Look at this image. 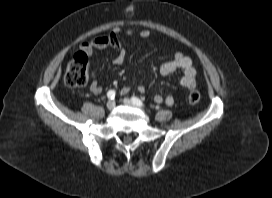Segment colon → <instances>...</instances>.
<instances>
[{"label":"colon","mask_w":272,"mask_h":198,"mask_svg":"<svg viewBox=\"0 0 272 198\" xmlns=\"http://www.w3.org/2000/svg\"><path fill=\"white\" fill-rule=\"evenodd\" d=\"M90 79L88 55L84 52L76 53L67 66L64 81L68 87L78 88L85 86ZM200 100V93L193 91L188 95V101L196 104Z\"/></svg>","instance_id":"colon-1"}]
</instances>
